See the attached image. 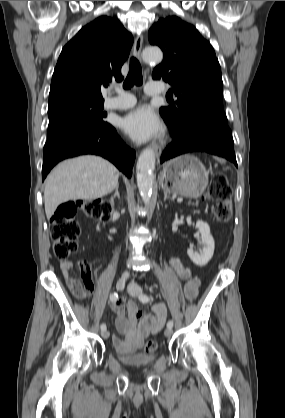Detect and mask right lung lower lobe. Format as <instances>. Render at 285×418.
<instances>
[{
  "label": "right lung lower lobe",
  "instance_id": "right-lung-lower-lobe-1",
  "mask_svg": "<svg viewBox=\"0 0 285 418\" xmlns=\"http://www.w3.org/2000/svg\"><path fill=\"white\" fill-rule=\"evenodd\" d=\"M84 154L100 155L111 161L128 178L136 153L124 144L110 124L104 128L73 129L47 140L43 152L42 179L61 160Z\"/></svg>",
  "mask_w": 285,
  "mask_h": 418
}]
</instances>
